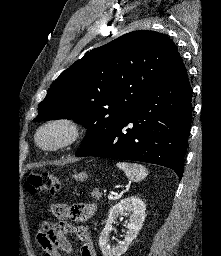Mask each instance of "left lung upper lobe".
<instances>
[{"label":"left lung upper lobe","mask_w":221,"mask_h":256,"mask_svg":"<svg viewBox=\"0 0 221 256\" xmlns=\"http://www.w3.org/2000/svg\"><path fill=\"white\" fill-rule=\"evenodd\" d=\"M184 64L164 34L139 30L87 52L51 84L34 121L75 119L92 144Z\"/></svg>","instance_id":"1"}]
</instances>
